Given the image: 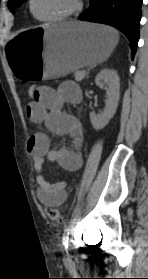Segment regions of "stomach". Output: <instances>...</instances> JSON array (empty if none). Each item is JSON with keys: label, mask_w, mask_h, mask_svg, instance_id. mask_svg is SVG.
I'll use <instances>...</instances> for the list:
<instances>
[{"label": "stomach", "mask_w": 148, "mask_h": 279, "mask_svg": "<svg viewBox=\"0 0 148 279\" xmlns=\"http://www.w3.org/2000/svg\"><path fill=\"white\" fill-rule=\"evenodd\" d=\"M119 39L116 30L83 23L46 24L17 33L7 44L6 59L16 82H52L104 62Z\"/></svg>", "instance_id": "stomach-1"}]
</instances>
